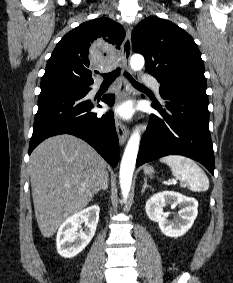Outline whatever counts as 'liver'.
Returning <instances> with one entry per match:
<instances>
[{"instance_id":"1","label":"liver","mask_w":233,"mask_h":283,"mask_svg":"<svg viewBox=\"0 0 233 283\" xmlns=\"http://www.w3.org/2000/svg\"><path fill=\"white\" fill-rule=\"evenodd\" d=\"M29 172L37 224L49 238L88 205L104 180L106 162L85 141L62 134L34 149Z\"/></svg>"}]
</instances>
